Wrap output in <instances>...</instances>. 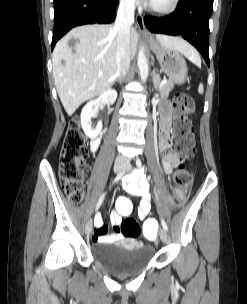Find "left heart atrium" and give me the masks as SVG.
I'll list each match as a JSON object with an SVG mask.
<instances>
[{"label":"left heart atrium","instance_id":"39dd6f15","mask_svg":"<svg viewBox=\"0 0 247 304\" xmlns=\"http://www.w3.org/2000/svg\"><path fill=\"white\" fill-rule=\"evenodd\" d=\"M145 2H147V3H150L152 0H144Z\"/></svg>","mask_w":247,"mask_h":304}]
</instances>
